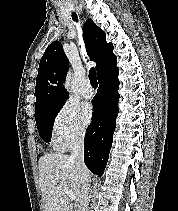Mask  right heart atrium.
I'll return each mask as SVG.
<instances>
[{"instance_id": "obj_1", "label": "right heart atrium", "mask_w": 178, "mask_h": 211, "mask_svg": "<svg viewBox=\"0 0 178 211\" xmlns=\"http://www.w3.org/2000/svg\"><path fill=\"white\" fill-rule=\"evenodd\" d=\"M87 126L82 121L78 108L65 102L56 112L52 121V134L62 148L80 143L86 134Z\"/></svg>"}]
</instances>
